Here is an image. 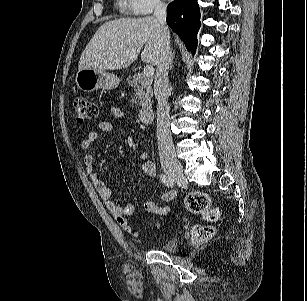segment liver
<instances>
[{"instance_id":"6515ba94","label":"liver","mask_w":307,"mask_h":301,"mask_svg":"<svg viewBox=\"0 0 307 301\" xmlns=\"http://www.w3.org/2000/svg\"><path fill=\"white\" fill-rule=\"evenodd\" d=\"M143 62L158 65L161 31L153 16L121 18L104 23L81 54L78 69H121L133 63L142 47Z\"/></svg>"}]
</instances>
